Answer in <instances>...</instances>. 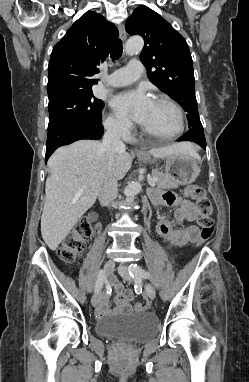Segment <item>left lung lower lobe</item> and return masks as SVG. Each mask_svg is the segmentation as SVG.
<instances>
[{
  "mask_svg": "<svg viewBox=\"0 0 249 382\" xmlns=\"http://www.w3.org/2000/svg\"><path fill=\"white\" fill-rule=\"evenodd\" d=\"M177 141H192L199 144L203 149H206V140L203 130H188L187 133Z\"/></svg>",
  "mask_w": 249,
  "mask_h": 382,
  "instance_id": "1",
  "label": "left lung lower lobe"
}]
</instances>
